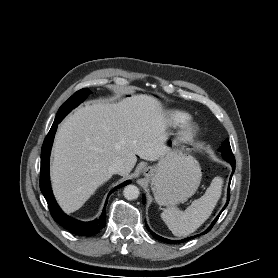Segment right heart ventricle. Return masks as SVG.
Wrapping results in <instances>:
<instances>
[{
	"mask_svg": "<svg viewBox=\"0 0 278 278\" xmlns=\"http://www.w3.org/2000/svg\"><path fill=\"white\" fill-rule=\"evenodd\" d=\"M190 119V115L182 110H173L169 114V120L172 125L180 126L188 122Z\"/></svg>",
	"mask_w": 278,
	"mask_h": 278,
	"instance_id": "right-heart-ventricle-1",
	"label": "right heart ventricle"
}]
</instances>
